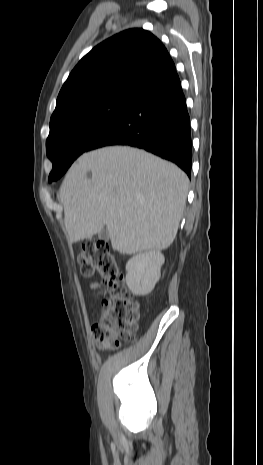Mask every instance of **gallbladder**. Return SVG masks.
<instances>
[{
  "instance_id": "gallbladder-1",
  "label": "gallbladder",
  "mask_w": 263,
  "mask_h": 465,
  "mask_svg": "<svg viewBox=\"0 0 263 465\" xmlns=\"http://www.w3.org/2000/svg\"><path fill=\"white\" fill-rule=\"evenodd\" d=\"M98 238L99 239H102V240H105V241H108L109 240V235H108V232L106 229H102L99 233H98Z\"/></svg>"
}]
</instances>
